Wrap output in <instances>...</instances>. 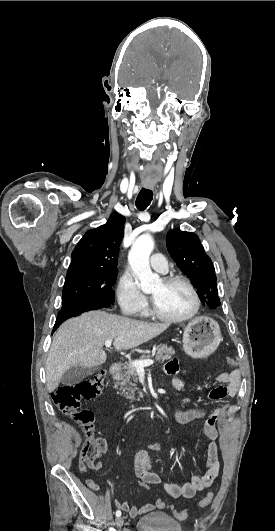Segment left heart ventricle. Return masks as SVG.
Listing matches in <instances>:
<instances>
[{
    "label": "left heart ventricle",
    "mask_w": 275,
    "mask_h": 531,
    "mask_svg": "<svg viewBox=\"0 0 275 531\" xmlns=\"http://www.w3.org/2000/svg\"><path fill=\"white\" fill-rule=\"evenodd\" d=\"M158 311L170 317H181L193 307L188 288L181 283H164L162 280L150 292Z\"/></svg>",
    "instance_id": "obj_1"
}]
</instances>
